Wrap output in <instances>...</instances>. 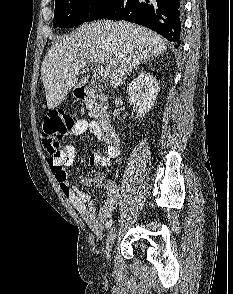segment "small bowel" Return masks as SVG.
I'll use <instances>...</instances> for the list:
<instances>
[{
    "label": "small bowel",
    "instance_id": "obj_1",
    "mask_svg": "<svg viewBox=\"0 0 233 294\" xmlns=\"http://www.w3.org/2000/svg\"><path fill=\"white\" fill-rule=\"evenodd\" d=\"M86 132L91 133L99 143L105 146V155L96 152L90 155V165L103 167L111 166L113 159L120 153L118 138L116 137L114 140L108 138L103 133L98 122L85 119L77 120L72 129L67 132V135L79 136ZM76 156V148L67 146L61 151L59 157H50L48 159V165L62 193L90 228L95 233H100L117 206L120 198V187L115 182H110L106 186L105 198L97 214L95 204L90 195L72 185L68 179L66 169L74 163ZM93 180L95 186H102L105 181V174L99 172L95 175Z\"/></svg>",
    "mask_w": 233,
    "mask_h": 294
}]
</instances>
